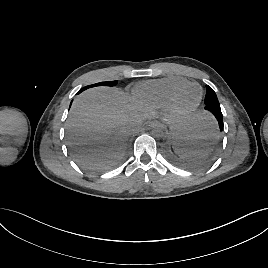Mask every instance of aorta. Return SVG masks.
<instances>
[{
  "label": "aorta",
  "mask_w": 268,
  "mask_h": 268,
  "mask_svg": "<svg viewBox=\"0 0 268 268\" xmlns=\"http://www.w3.org/2000/svg\"><path fill=\"white\" fill-rule=\"evenodd\" d=\"M164 134H165V132H164L163 128H161V127L154 128L151 131V135L154 138H162L164 136Z\"/></svg>",
  "instance_id": "obj_1"
}]
</instances>
